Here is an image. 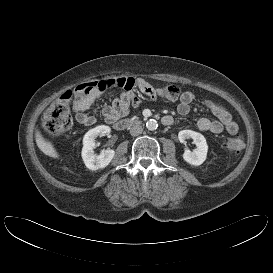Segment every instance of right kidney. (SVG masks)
<instances>
[{
    "instance_id": "ca27d5eb",
    "label": "right kidney",
    "mask_w": 273,
    "mask_h": 273,
    "mask_svg": "<svg viewBox=\"0 0 273 273\" xmlns=\"http://www.w3.org/2000/svg\"><path fill=\"white\" fill-rule=\"evenodd\" d=\"M110 127L106 125L97 126L89 130L83 138L82 159L85 166L90 170H98L105 168L112 161L115 151L107 149L99 155L94 152L95 139L98 136H103L110 133Z\"/></svg>"
}]
</instances>
